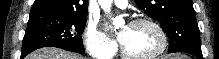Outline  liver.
<instances>
[{"label": "liver", "instance_id": "liver-1", "mask_svg": "<svg viewBox=\"0 0 219 59\" xmlns=\"http://www.w3.org/2000/svg\"><path fill=\"white\" fill-rule=\"evenodd\" d=\"M26 59H85L71 52L58 48H41L31 54Z\"/></svg>", "mask_w": 219, "mask_h": 59}]
</instances>
